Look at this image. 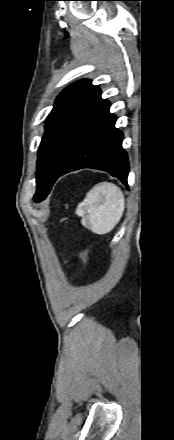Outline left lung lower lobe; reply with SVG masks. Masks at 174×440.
Listing matches in <instances>:
<instances>
[{"label": "left lung lower lobe", "instance_id": "obj_1", "mask_svg": "<svg viewBox=\"0 0 174 440\" xmlns=\"http://www.w3.org/2000/svg\"><path fill=\"white\" fill-rule=\"evenodd\" d=\"M107 100L91 115L81 131L58 177L78 169L92 168L108 172L127 187L129 164L122 148L123 134L115 128L116 116Z\"/></svg>", "mask_w": 174, "mask_h": 440}]
</instances>
